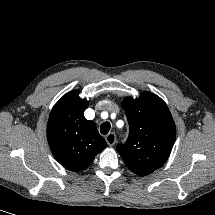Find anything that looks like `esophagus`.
Masks as SVG:
<instances>
[{
	"label": "esophagus",
	"mask_w": 215,
	"mask_h": 215,
	"mask_svg": "<svg viewBox=\"0 0 215 215\" xmlns=\"http://www.w3.org/2000/svg\"><path fill=\"white\" fill-rule=\"evenodd\" d=\"M106 142L109 146H113L116 142V135L114 133H109L106 137Z\"/></svg>",
	"instance_id": "obj_1"
}]
</instances>
